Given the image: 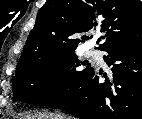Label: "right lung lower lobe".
Returning a JSON list of instances; mask_svg holds the SVG:
<instances>
[{
	"label": "right lung lower lobe",
	"mask_w": 142,
	"mask_h": 119,
	"mask_svg": "<svg viewBox=\"0 0 142 119\" xmlns=\"http://www.w3.org/2000/svg\"><path fill=\"white\" fill-rule=\"evenodd\" d=\"M111 82L99 83L92 69L77 89L51 107L80 119H142V37L106 50Z\"/></svg>",
	"instance_id": "1"
}]
</instances>
